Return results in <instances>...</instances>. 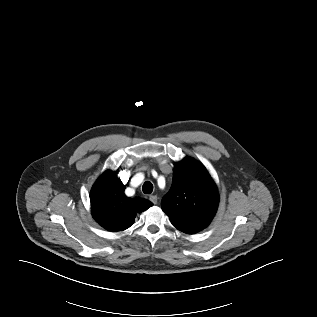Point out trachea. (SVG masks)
<instances>
[{
	"label": "trachea",
	"mask_w": 317,
	"mask_h": 317,
	"mask_svg": "<svg viewBox=\"0 0 317 317\" xmlns=\"http://www.w3.org/2000/svg\"><path fill=\"white\" fill-rule=\"evenodd\" d=\"M142 190H143V193L145 194H151L152 191H153V185L151 182L149 181H146L143 186H142Z\"/></svg>",
	"instance_id": "3493384b"
}]
</instances>
